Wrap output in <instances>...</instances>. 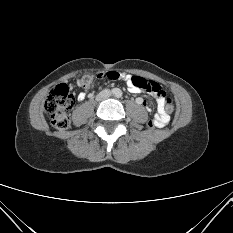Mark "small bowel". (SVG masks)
Wrapping results in <instances>:
<instances>
[{
  "instance_id": "obj_1",
  "label": "small bowel",
  "mask_w": 233,
  "mask_h": 233,
  "mask_svg": "<svg viewBox=\"0 0 233 233\" xmlns=\"http://www.w3.org/2000/svg\"><path fill=\"white\" fill-rule=\"evenodd\" d=\"M107 75V76H106ZM105 75L104 72H99L98 73V78L99 79H104V78H110L111 80H123L127 83V86H128V89L130 92L132 93H139L141 92V89L135 87L133 84H132V76L128 75V74H120L119 71L117 70H113V71H108L107 74ZM86 97V93L85 92H81L79 95H78V100L82 101L84 100ZM157 98V112L155 114V119H156V127L157 128H163L165 127L169 120H170V117L168 115V113L166 112V109H165V99L164 97L162 96H156ZM137 103L138 104H142L144 105L148 110H150V107L148 105V103L142 99V98H137Z\"/></svg>"
}]
</instances>
